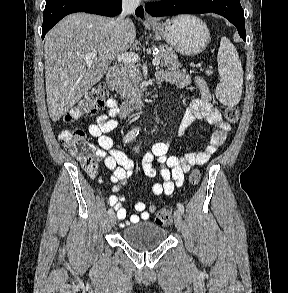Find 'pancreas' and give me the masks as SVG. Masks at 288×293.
I'll use <instances>...</instances> for the list:
<instances>
[{"label":"pancreas","mask_w":288,"mask_h":293,"mask_svg":"<svg viewBox=\"0 0 288 293\" xmlns=\"http://www.w3.org/2000/svg\"><path fill=\"white\" fill-rule=\"evenodd\" d=\"M158 58L161 59V66L167 67L169 70L178 71L181 67L176 53L167 45L159 46ZM141 83L142 77L138 64L128 62L119 64L114 87L122 99L125 101L139 99L145 90Z\"/></svg>","instance_id":"cf45deb5"}]
</instances>
